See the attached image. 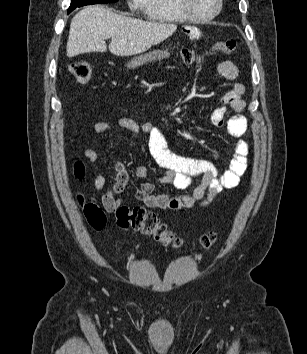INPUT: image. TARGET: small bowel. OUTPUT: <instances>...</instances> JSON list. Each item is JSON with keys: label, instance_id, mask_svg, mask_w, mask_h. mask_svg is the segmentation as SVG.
Instances as JSON below:
<instances>
[{"label": "small bowel", "instance_id": "c3829d8e", "mask_svg": "<svg viewBox=\"0 0 307 354\" xmlns=\"http://www.w3.org/2000/svg\"><path fill=\"white\" fill-rule=\"evenodd\" d=\"M188 37L192 39L201 38L199 29L190 27L185 30ZM218 72L227 80L233 81L238 76V68L230 61H224L218 65ZM245 86L237 82L231 89L221 96L223 105L216 107L211 113L212 123L217 127H226L228 133L237 138L234 146L233 157L229 168L223 175L219 176L218 168L212 161L194 159L175 154L168 148L166 137L163 131L147 122H140L132 118H120L117 125L128 130L133 136L143 133L148 139V150L156 163L165 169V173L158 179L161 183L173 184L177 188L185 189L191 186L192 178L198 177L201 182L196 186L190 195L171 196L169 194L154 193L152 182H143L136 192V199L143 202L149 208L157 209H196L209 205L224 189L236 187L247 168L248 144L244 140L247 133V121L242 115L245 103L242 95ZM229 106L233 115L226 120L227 108ZM96 133H104L110 129L106 121L96 122L93 126ZM84 157L94 170V187L102 190L106 180L97 166L98 154L96 151L86 148L83 151ZM116 177L112 189L102 197V202L107 210L121 204L116 197L123 192L128 181L129 174L120 163L115 164ZM138 178H147L150 171L146 166L139 165L135 169Z\"/></svg>", "mask_w": 307, "mask_h": 354}]
</instances>
